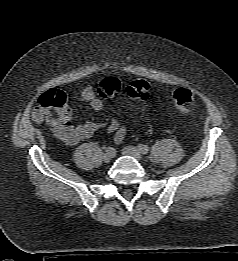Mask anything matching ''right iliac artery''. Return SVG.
Here are the masks:
<instances>
[{"instance_id": "1", "label": "right iliac artery", "mask_w": 238, "mask_h": 261, "mask_svg": "<svg viewBox=\"0 0 238 261\" xmlns=\"http://www.w3.org/2000/svg\"><path fill=\"white\" fill-rule=\"evenodd\" d=\"M106 151H107V153H109V154H110V153L113 154V153H115L116 150H115V148L109 147V148H107Z\"/></svg>"}]
</instances>
